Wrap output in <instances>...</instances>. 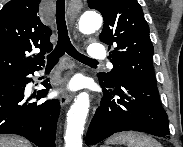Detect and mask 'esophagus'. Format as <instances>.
Returning a JSON list of instances; mask_svg holds the SVG:
<instances>
[{
	"label": "esophagus",
	"mask_w": 183,
	"mask_h": 147,
	"mask_svg": "<svg viewBox=\"0 0 183 147\" xmlns=\"http://www.w3.org/2000/svg\"><path fill=\"white\" fill-rule=\"evenodd\" d=\"M72 99H73V93L71 92L62 91L59 96V101L62 107L70 103Z\"/></svg>",
	"instance_id": "obj_1"
}]
</instances>
